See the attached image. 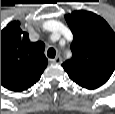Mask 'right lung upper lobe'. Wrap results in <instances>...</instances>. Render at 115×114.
<instances>
[{
  "mask_svg": "<svg viewBox=\"0 0 115 114\" xmlns=\"http://www.w3.org/2000/svg\"><path fill=\"white\" fill-rule=\"evenodd\" d=\"M18 21L1 31V85L20 92L33 86L47 66L45 44L30 42Z\"/></svg>",
  "mask_w": 115,
  "mask_h": 114,
  "instance_id": "obj_1",
  "label": "right lung upper lobe"
}]
</instances>
